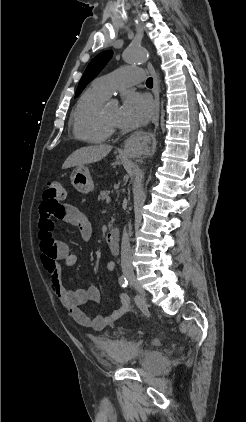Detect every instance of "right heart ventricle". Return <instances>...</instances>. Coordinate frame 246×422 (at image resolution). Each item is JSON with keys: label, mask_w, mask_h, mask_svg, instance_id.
<instances>
[{"label": "right heart ventricle", "mask_w": 246, "mask_h": 422, "mask_svg": "<svg viewBox=\"0 0 246 422\" xmlns=\"http://www.w3.org/2000/svg\"><path fill=\"white\" fill-rule=\"evenodd\" d=\"M107 98L95 86H91L80 96L72 112L73 133L78 139L98 144L109 138L111 130L101 119L102 105Z\"/></svg>", "instance_id": "right-heart-ventricle-1"}]
</instances>
